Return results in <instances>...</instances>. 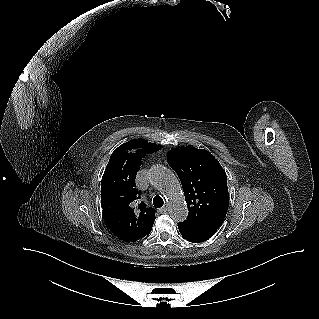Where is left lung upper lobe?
Listing matches in <instances>:
<instances>
[{"label":"left lung upper lobe","mask_w":319,"mask_h":319,"mask_svg":"<svg viewBox=\"0 0 319 319\" xmlns=\"http://www.w3.org/2000/svg\"><path fill=\"white\" fill-rule=\"evenodd\" d=\"M177 173L188 206L186 220L219 227L229 206L227 176L218 160L204 149L176 147L167 155Z\"/></svg>","instance_id":"5c2ea615"}]
</instances>
